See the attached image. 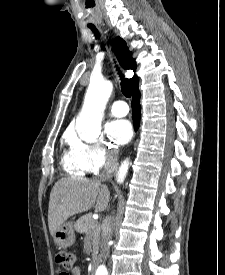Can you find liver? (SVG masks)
I'll return each mask as SVG.
<instances>
[{
  "mask_svg": "<svg viewBox=\"0 0 225 275\" xmlns=\"http://www.w3.org/2000/svg\"><path fill=\"white\" fill-rule=\"evenodd\" d=\"M110 192L99 179L78 176L62 178L53 186L48 208L50 234L71 216L88 211L95 203L96 211H103L109 202Z\"/></svg>",
  "mask_w": 225,
  "mask_h": 275,
  "instance_id": "obj_1",
  "label": "liver"
}]
</instances>
